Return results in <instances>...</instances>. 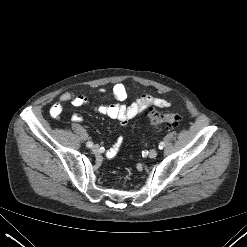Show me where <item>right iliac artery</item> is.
Wrapping results in <instances>:
<instances>
[{
    "mask_svg": "<svg viewBox=\"0 0 247 247\" xmlns=\"http://www.w3.org/2000/svg\"><path fill=\"white\" fill-rule=\"evenodd\" d=\"M86 146L89 147V148L93 147V142L88 141V142L86 143Z\"/></svg>",
    "mask_w": 247,
    "mask_h": 247,
    "instance_id": "82829eb1",
    "label": "right iliac artery"
}]
</instances>
